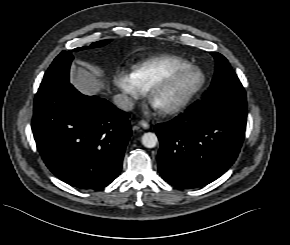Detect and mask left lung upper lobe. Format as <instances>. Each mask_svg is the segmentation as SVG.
<instances>
[{"label":"left lung upper lobe","mask_w":290,"mask_h":245,"mask_svg":"<svg viewBox=\"0 0 290 245\" xmlns=\"http://www.w3.org/2000/svg\"><path fill=\"white\" fill-rule=\"evenodd\" d=\"M211 55L215 58L216 70L212 84L205 95L228 87H242L241 82L231 68L227 59L217 52H211Z\"/></svg>","instance_id":"1"}]
</instances>
